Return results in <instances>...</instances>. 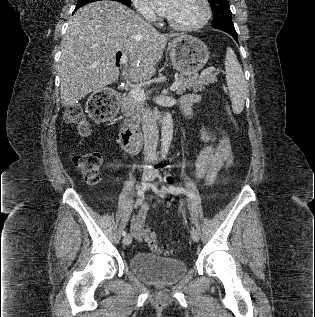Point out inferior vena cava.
I'll return each instance as SVG.
<instances>
[{"instance_id":"obj_1","label":"inferior vena cava","mask_w":315,"mask_h":317,"mask_svg":"<svg viewBox=\"0 0 315 317\" xmlns=\"http://www.w3.org/2000/svg\"><path fill=\"white\" fill-rule=\"evenodd\" d=\"M142 129L144 134V158L150 163L156 160V149L158 144V128L156 118L150 108H145L142 111ZM146 170H152L150 167H145Z\"/></svg>"}]
</instances>
